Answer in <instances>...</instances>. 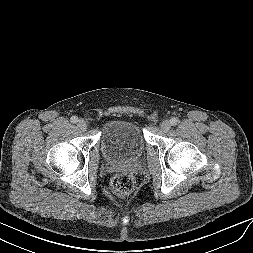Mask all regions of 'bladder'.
<instances>
[{
    "mask_svg": "<svg viewBox=\"0 0 253 253\" xmlns=\"http://www.w3.org/2000/svg\"><path fill=\"white\" fill-rule=\"evenodd\" d=\"M145 136L141 126L132 120L108 121L101 133V151L111 162H134L143 153Z\"/></svg>",
    "mask_w": 253,
    "mask_h": 253,
    "instance_id": "obj_1",
    "label": "bladder"
}]
</instances>
